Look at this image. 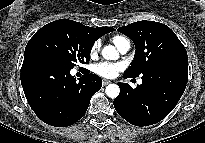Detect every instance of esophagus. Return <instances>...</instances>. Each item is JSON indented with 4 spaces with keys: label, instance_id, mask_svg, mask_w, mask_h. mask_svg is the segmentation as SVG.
Returning a JSON list of instances; mask_svg holds the SVG:
<instances>
[{
    "label": "esophagus",
    "instance_id": "obj_1",
    "mask_svg": "<svg viewBox=\"0 0 205 143\" xmlns=\"http://www.w3.org/2000/svg\"><path fill=\"white\" fill-rule=\"evenodd\" d=\"M102 83H103L104 86H106V85H108L109 83H111V81H110V80L103 79Z\"/></svg>",
    "mask_w": 205,
    "mask_h": 143
}]
</instances>
